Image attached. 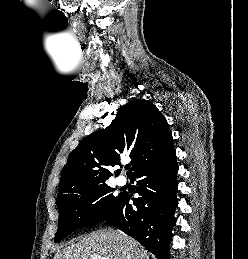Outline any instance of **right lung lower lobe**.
I'll return each instance as SVG.
<instances>
[{"instance_id": "98d812e1", "label": "right lung lower lobe", "mask_w": 248, "mask_h": 259, "mask_svg": "<svg viewBox=\"0 0 248 259\" xmlns=\"http://www.w3.org/2000/svg\"><path fill=\"white\" fill-rule=\"evenodd\" d=\"M178 165L176 153L142 167L130 178L137 180L134 207L124 193L116 213L105 221L140 242L158 259H169L171 230L175 224Z\"/></svg>"}]
</instances>
